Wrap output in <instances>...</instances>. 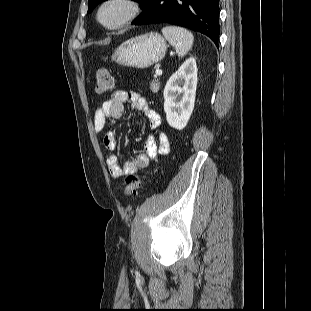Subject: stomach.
Listing matches in <instances>:
<instances>
[{
    "mask_svg": "<svg viewBox=\"0 0 311 311\" xmlns=\"http://www.w3.org/2000/svg\"><path fill=\"white\" fill-rule=\"evenodd\" d=\"M166 41L155 32L135 36L123 42L112 55L119 65L144 69L161 61L166 54Z\"/></svg>",
    "mask_w": 311,
    "mask_h": 311,
    "instance_id": "stomach-1",
    "label": "stomach"
}]
</instances>
